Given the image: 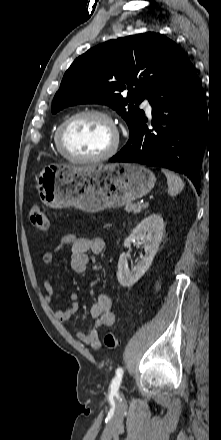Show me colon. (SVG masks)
Wrapping results in <instances>:
<instances>
[{
  "instance_id": "colon-1",
  "label": "colon",
  "mask_w": 221,
  "mask_h": 440,
  "mask_svg": "<svg viewBox=\"0 0 221 440\" xmlns=\"http://www.w3.org/2000/svg\"><path fill=\"white\" fill-rule=\"evenodd\" d=\"M31 225L38 230H46L48 227L47 218L42 207L35 205L30 211ZM104 346L108 349H115L118 346V339L114 332H109L104 336Z\"/></svg>"
}]
</instances>
